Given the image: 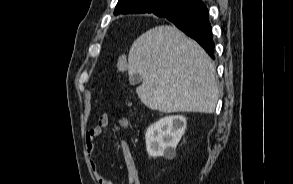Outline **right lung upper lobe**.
<instances>
[{"instance_id":"obj_1","label":"right lung upper lobe","mask_w":293,"mask_h":184,"mask_svg":"<svg viewBox=\"0 0 293 184\" xmlns=\"http://www.w3.org/2000/svg\"><path fill=\"white\" fill-rule=\"evenodd\" d=\"M190 4H203V2L202 0H119L114 14L153 13L164 17Z\"/></svg>"}]
</instances>
